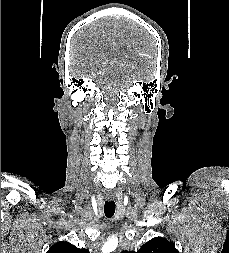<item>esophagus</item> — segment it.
Returning a JSON list of instances; mask_svg holds the SVG:
<instances>
[{
  "mask_svg": "<svg viewBox=\"0 0 229 253\" xmlns=\"http://www.w3.org/2000/svg\"><path fill=\"white\" fill-rule=\"evenodd\" d=\"M106 198H107V200H109V201H111V200L114 199V197H113L112 195H108Z\"/></svg>",
  "mask_w": 229,
  "mask_h": 253,
  "instance_id": "1",
  "label": "esophagus"
}]
</instances>
